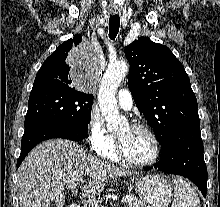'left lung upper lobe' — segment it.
Here are the masks:
<instances>
[{"label": "left lung upper lobe", "mask_w": 220, "mask_h": 207, "mask_svg": "<svg viewBox=\"0 0 220 207\" xmlns=\"http://www.w3.org/2000/svg\"><path fill=\"white\" fill-rule=\"evenodd\" d=\"M125 55L129 89L161 145L179 129L200 124L188 75L167 46L140 37L125 48Z\"/></svg>", "instance_id": "5c2ea615"}]
</instances>
